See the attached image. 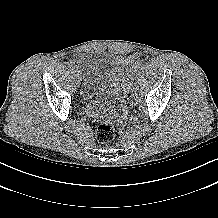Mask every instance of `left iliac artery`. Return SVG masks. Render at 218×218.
<instances>
[{
	"instance_id": "44dca946",
	"label": "left iliac artery",
	"mask_w": 218,
	"mask_h": 218,
	"mask_svg": "<svg viewBox=\"0 0 218 218\" xmlns=\"http://www.w3.org/2000/svg\"><path fill=\"white\" fill-rule=\"evenodd\" d=\"M135 76V73L134 72H131L130 75H129V78H128V86L129 87H132L136 82L134 81L136 78L134 77Z\"/></svg>"
}]
</instances>
